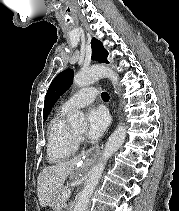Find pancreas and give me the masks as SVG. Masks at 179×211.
<instances>
[{
    "label": "pancreas",
    "instance_id": "1",
    "mask_svg": "<svg viewBox=\"0 0 179 211\" xmlns=\"http://www.w3.org/2000/svg\"><path fill=\"white\" fill-rule=\"evenodd\" d=\"M65 191H70V189L68 187H65L56 194L52 202V207L55 209V211H61L63 205L65 204L67 199V197L63 196V192Z\"/></svg>",
    "mask_w": 179,
    "mask_h": 211
}]
</instances>
